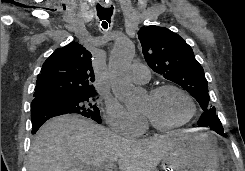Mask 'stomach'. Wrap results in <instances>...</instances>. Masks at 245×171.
<instances>
[{
  "label": "stomach",
  "mask_w": 245,
  "mask_h": 171,
  "mask_svg": "<svg viewBox=\"0 0 245 171\" xmlns=\"http://www.w3.org/2000/svg\"><path fill=\"white\" fill-rule=\"evenodd\" d=\"M220 150L210 132L186 134L163 158L165 171H219Z\"/></svg>",
  "instance_id": "obj_1"
}]
</instances>
